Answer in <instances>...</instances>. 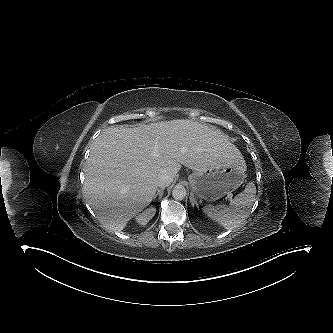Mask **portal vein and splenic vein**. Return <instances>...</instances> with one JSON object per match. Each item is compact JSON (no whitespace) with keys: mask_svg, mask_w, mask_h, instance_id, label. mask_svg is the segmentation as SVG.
I'll return each instance as SVG.
<instances>
[{"mask_svg":"<svg viewBox=\"0 0 333 333\" xmlns=\"http://www.w3.org/2000/svg\"><path fill=\"white\" fill-rule=\"evenodd\" d=\"M228 198H230V199H231V196H230V195H228Z\"/></svg>","mask_w":333,"mask_h":333,"instance_id":"obj_1","label":"portal vein and splenic vein"}]
</instances>
